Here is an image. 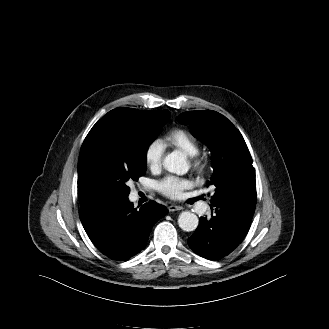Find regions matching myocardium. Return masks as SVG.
I'll list each match as a JSON object with an SVG mask.
<instances>
[{
    "label": "myocardium",
    "mask_w": 329,
    "mask_h": 329,
    "mask_svg": "<svg viewBox=\"0 0 329 329\" xmlns=\"http://www.w3.org/2000/svg\"><path fill=\"white\" fill-rule=\"evenodd\" d=\"M192 165L196 170L203 171L206 168V161L203 158L195 156L192 159Z\"/></svg>",
    "instance_id": "obj_1"
}]
</instances>
